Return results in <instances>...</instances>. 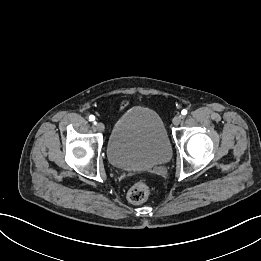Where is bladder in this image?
I'll use <instances>...</instances> for the list:
<instances>
[{"label": "bladder", "instance_id": "obj_1", "mask_svg": "<svg viewBox=\"0 0 261 261\" xmlns=\"http://www.w3.org/2000/svg\"><path fill=\"white\" fill-rule=\"evenodd\" d=\"M171 156L165 125L154 110L134 106L114 123L107 143V157L114 167L142 170L164 164Z\"/></svg>", "mask_w": 261, "mask_h": 261}]
</instances>
